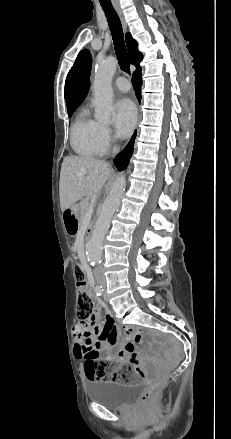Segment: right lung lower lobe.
<instances>
[{
    "label": "right lung lower lobe",
    "instance_id": "1",
    "mask_svg": "<svg viewBox=\"0 0 231 439\" xmlns=\"http://www.w3.org/2000/svg\"><path fill=\"white\" fill-rule=\"evenodd\" d=\"M132 83L133 87L136 93V97L140 103L141 100V85H142V78H141V67L137 68L132 77ZM136 138V131L134 132L131 140L127 144V146L115 157L114 164L118 168V170H123L127 167L129 160L131 158L133 147H134V140Z\"/></svg>",
    "mask_w": 231,
    "mask_h": 439
}]
</instances>
